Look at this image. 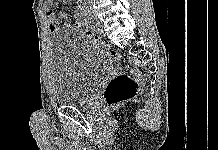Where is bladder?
<instances>
[{"label": "bladder", "instance_id": "1", "mask_svg": "<svg viewBox=\"0 0 218 150\" xmlns=\"http://www.w3.org/2000/svg\"><path fill=\"white\" fill-rule=\"evenodd\" d=\"M53 53L56 63L53 96L63 106L87 104L113 69L102 51L71 31L55 35Z\"/></svg>", "mask_w": 218, "mask_h": 150}]
</instances>
